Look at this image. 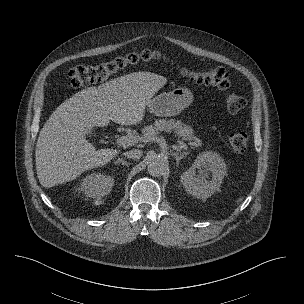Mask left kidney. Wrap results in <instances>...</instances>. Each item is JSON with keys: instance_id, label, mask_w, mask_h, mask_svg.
I'll list each match as a JSON object with an SVG mask.
<instances>
[{"instance_id": "5707ae66", "label": "left kidney", "mask_w": 304, "mask_h": 304, "mask_svg": "<svg viewBox=\"0 0 304 304\" xmlns=\"http://www.w3.org/2000/svg\"><path fill=\"white\" fill-rule=\"evenodd\" d=\"M224 160L214 152H204L195 160L194 164L181 175V183L186 192L197 198L207 199L219 190L227 173ZM211 180L209 181V174Z\"/></svg>"}]
</instances>
